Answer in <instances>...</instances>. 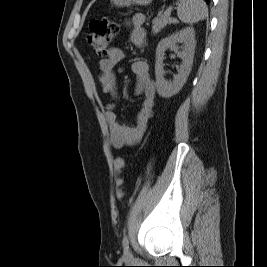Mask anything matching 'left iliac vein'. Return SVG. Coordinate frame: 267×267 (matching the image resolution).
I'll return each instance as SVG.
<instances>
[{"mask_svg": "<svg viewBox=\"0 0 267 267\" xmlns=\"http://www.w3.org/2000/svg\"><path fill=\"white\" fill-rule=\"evenodd\" d=\"M124 255L126 257H131V252H130L129 248H124Z\"/></svg>", "mask_w": 267, "mask_h": 267, "instance_id": "1", "label": "left iliac vein"}]
</instances>
